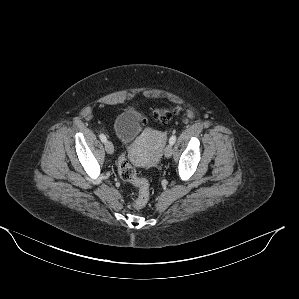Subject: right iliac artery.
Listing matches in <instances>:
<instances>
[{
  "label": "right iliac artery",
  "instance_id": "obj_1",
  "mask_svg": "<svg viewBox=\"0 0 299 299\" xmlns=\"http://www.w3.org/2000/svg\"><path fill=\"white\" fill-rule=\"evenodd\" d=\"M99 137H100V139H101L102 142L105 143L107 141V138H106V136L104 134H100Z\"/></svg>",
  "mask_w": 299,
  "mask_h": 299
}]
</instances>
